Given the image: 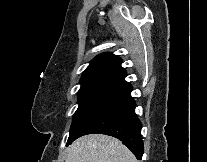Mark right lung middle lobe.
I'll return each mask as SVG.
<instances>
[{"label":"right lung middle lobe","instance_id":"obj_1","mask_svg":"<svg viewBox=\"0 0 207 162\" xmlns=\"http://www.w3.org/2000/svg\"><path fill=\"white\" fill-rule=\"evenodd\" d=\"M114 90L115 88L111 87H88L79 90V107L73 116L68 140L74 135L85 118Z\"/></svg>","mask_w":207,"mask_h":162}]
</instances>
